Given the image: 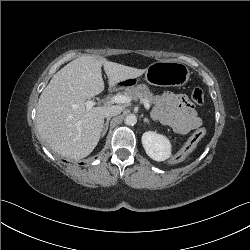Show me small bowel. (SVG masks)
Segmentation results:
<instances>
[{"mask_svg":"<svg viewBox=\"0 0 250 250\" xmlns=\"http://www.w3.org/2000/svg\"><path fill=\"white\" fill-rule=\"evenodd\" d=\"M153 118L176 133L187 134L201 125L193 104L183 94L165 92L155 101Z\"/></svg>","mask_w":250,"mask_h":250,"instance_id":"1","label":"small bowel"}]
</instances>
